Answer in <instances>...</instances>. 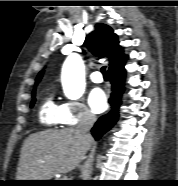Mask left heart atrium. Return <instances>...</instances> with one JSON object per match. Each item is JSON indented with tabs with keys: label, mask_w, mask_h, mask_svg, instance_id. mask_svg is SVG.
<instances>
[{
	"label": "left heart atrium",
	"mask_w": 178,
	"mask_h": 186,
	"mask_svg": "<svg viewBox=\"0 0 178 186\" xmlns=\"http://www.w3.org/2000/svg\"><path fill=\"white\" fill-rule=\"evenodd\" d=\"M88 102L94 112L104 111L107 104L105 92L101 88L92 89L88 96Z\"/></svg>",
	"instance_id": "1"
}]
</instances>
